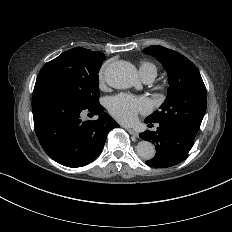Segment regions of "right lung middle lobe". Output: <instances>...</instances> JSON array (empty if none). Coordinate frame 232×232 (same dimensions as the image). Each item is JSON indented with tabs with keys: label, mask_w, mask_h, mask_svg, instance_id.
I'll return each instance as SVG.
<instances>
[{
	"label": "right lung middle lobe",
	"mask_w": 232,
	"mask_h": 232,
	"mask_svg": "<svg viewBox=\"0 0 232 232\" xmlns=\"http://www.w3.org/2000/svg\"><path fill=\"white\" fill-rule=\"evenodd\" d=\"M104 54L81 47L70 49L45 64L38 78L52 79L64 86L80 103L92 106L99 102L98 72Z\"/></svg>",
	"instance_id": "dd1d6c3e"
}]
</instances>
